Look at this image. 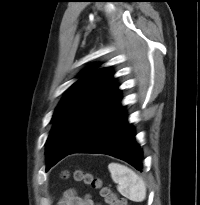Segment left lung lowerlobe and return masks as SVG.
Here are the masks:
<instances>
[{
  "mask_svg": "<svg viewBox=\"0 0 200 205\" xmlns=\"http://www.w3.org/2000/svg\"><path fill=\"white\" fill-rule=\"evenodd\" d=\"M120 101L119 94L102 117L67 155L108 154L128 162L137 170L142 169V151L135 141L134 129L127 123L126 113Z\"/></svg>",
  "mask_w": 200,
  "mask_h": 205,
  "instance_id": "0a47b994",
  "label": "left lung lower lobe"
}]
</instances>
